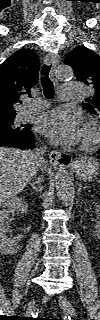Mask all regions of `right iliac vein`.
I'll return each mask as SVG.
<instances>
[{"mask_svg": "<svg viewBox=\"0 0 100 320\" xmlns=\"http://www.w3.org/2000/svg\"><path fill=\"white\" fill-rule=\"evenodd\" d=\"M35 308V300H31L27 305L26 313L30 314V312Z\"/></svg>", "mask_w": 100, "mask_h": 320, "instance_id": "1", "label": "right iliac vein"}]
</instances>
